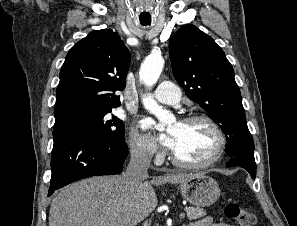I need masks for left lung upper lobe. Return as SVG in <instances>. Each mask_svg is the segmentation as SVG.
Wrapping results in <instances>:
<instances>
[{
	"label": "left lung upper lobe",
	"instance_id": "left-lung-upper-lobe-1",
	"mask_svg": "<svg viewBox=\"0 0 297 226\" xmlns=\"http://www.w3.org/2000/svg\"><path fill=\"white\" fill-rule=\"evenodd\" d=\"M169 53L174 77L186 95L225 133L228 156L254 157L234 70L220 46L194 25L186 24L170 39Z\"/></svg>",
	"mask_w": 297,
	"mask_h": 226
}]
</instances>
